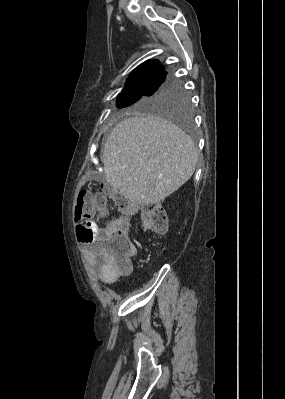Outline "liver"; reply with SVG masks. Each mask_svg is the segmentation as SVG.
Here are the masks:
<instances>
[{
	"mask_svg": "<svg viewBox=\"0 0 285 399\" xmlns=\"http://www.w3.org/2000/svg\"><path fill=\"white\" fill-rule=\"evenodd\" d=\"M197 160L191 137L154 116L119 122L101 156L106 181L139 205L163 201L180 188L193 175Z\"/></svg>",
	"mask_w": 285,
	"mask_h": 399,
	"instance_id": "liver-1",
	"label": "liver"
}]
</instances>
